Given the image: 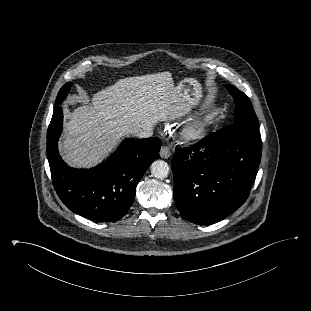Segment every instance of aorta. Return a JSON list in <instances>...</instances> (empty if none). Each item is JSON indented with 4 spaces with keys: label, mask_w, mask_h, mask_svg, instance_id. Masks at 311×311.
<instances>
[{
    "label": "aorta",
    "mask_w": 311,
    "mask_h": 311,
    "mask_svg": "<svg viewBox=\"0 0 311 311\" xmlns=\"http://www.w3.org/2000/svg\"><path fill=\"white\" fill-rule=\"evenodd\" d=\"M151 173L155 178L163 179L169 174V165L163 160H156L151 165Z\"/></svg>",
    "instance_id": "762f6f07"
}]
</instances>
